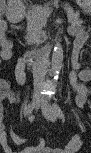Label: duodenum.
<instances>
[{
    "instance_id": "obj_1",
    "label": "duodenum",
    "mask_w": 91,
    "mask_h": 153,
    "mask_svg": "<svg viewBox=\"0 0 91 153\" xmlns=\"http://www.w3.org/2000/svg\"><path fill=\"white\" fill-rule=\"evenodd\" d=\"M13 16L15 18H20L21 13H14ZM61 44L60 40H55L53 43L42 47L40 49L28 50L23 53V58L32 64L43 63L47 61L51 51L54 47L59 46Z\"/></svg>"
}]
</instances>
